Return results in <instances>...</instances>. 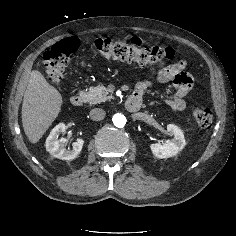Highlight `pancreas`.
Returning <instances> with one entry per match:
<instances>
[{
  "label": "pancreas",
  "mask_w": 236,
  "mask_h": 236,
  "mask_svg": "<svg viewBox=\"0 0 236 236\" xmlns=\"http://www.w3.org/2000/svg\"><path fill=\"white\" fill-rule=\"evenodd\" d=\"M109 92L106 87L103 86V84H98L97 86H92L89 88V91L86 92L85 100L90 105L99 104L101 102H104L106 100H110L113 97L111 95H108Z\"/></svg>",
  "instance_id": "pancreas-1"
}]
</instances>
